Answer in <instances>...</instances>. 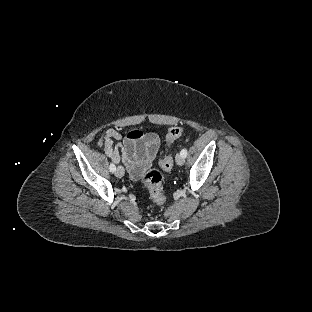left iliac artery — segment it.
I'll use <instances>...</instances> for the list:
<instances>
[{
	"instance_id": "left-iliac-artery-1",
	"label": "left iliac artery",
	"mask_w": 312,
	"mask_h": 312,
	"mask_svg": "<svg viewBox=\"0 0 312 312\" xmlns=\"http://www.w3.org/2000/svg\"><path fill=\"white\" fill-rule=\"evenodd\" d=\"M180 154H181L184 158H186V156H187V149H182V151L180 152Z\"/></svg>"
}]
</instances>
